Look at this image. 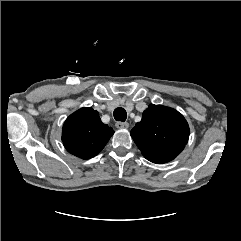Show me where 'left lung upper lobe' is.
<instances>
[{
  "instance_id": "5c2ea615",
  "label": "left lung upper lobe",
  "mask_w": 241,
  "mask_h": 241,
  "mask_svg": "<svg viewBox=\"0 0 241 241\" xmlns=\"http://www.w3.org/2000/svg\"><path fill=\"white\" fill-rule=\"evenodd\" d=\"M130 134L146 159L172 160L187 144L189 126L175 109L151 104Z\"/></svg>"
}]
</instances>
